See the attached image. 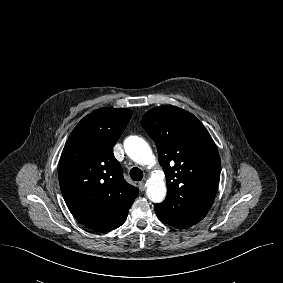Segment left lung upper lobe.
Returning a JSON list of instances; mask_svg holds the SVG:
<instances>
[{
    "label": "left lung upper lobe",
    "mask_w": 283,
    "mask_h": 283,
    "mask_svg": "<svg viewBox=\"0 0 283 283\" xmlns=\"http://www.w3.org/2000/svg\"><path fill=\"white\" fill-rule=\"evenodd\" d=\"M157 146L167 196L155 204L158 218L190 227L210 210L220 179V157L203 124L184 109L168 105L148 111L141 121Z\"/></svg>",
    "instance_id": "obj_1"
}]
</instances>
